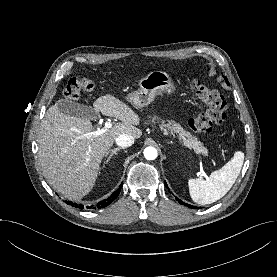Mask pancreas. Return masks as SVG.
<instances>
[{"label": "pancreas", "instance_id": "pancreas-1", "mask_svg": "<svg viewBox=\"0 0 277 277\" xmlns=\"http://www.w3.org/2000/svg\"><path fill=\"white\" fill-rule=\"evenodd\" d=\"M158 122L160 124V128L164 130L165 134L175 135L178 134L180 140L184 142V144L190 148L195 149L197 152L202 153L203 155L207 154V149L203 146V144L197 140V138L191 135L188 131L182 128L179 123L171 120L167 123L165 121H160L158 118H152V122Z\"/></svg>", "mask_w": 277, "mask_h": 277}]
</instances>
